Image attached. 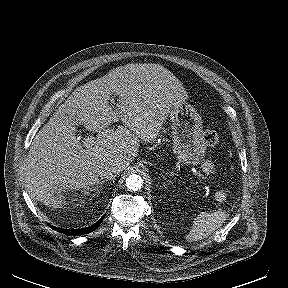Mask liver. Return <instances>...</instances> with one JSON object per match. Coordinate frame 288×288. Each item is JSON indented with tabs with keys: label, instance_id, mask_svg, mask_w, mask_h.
I'll return each mask as SVG.
<instances>
[{
	"label": "liver",
	"instance_id": "1",
	"mask_svg": "<svg viewBox=\"0 0 288 288\" xmlns=\"http://www.w3.org/2000/svg\"><path fill=\"white\" fill-rule=\"evenodd\" d=\"M112 94L118 97L115 110L109 104ZM186 98L182 83L155 63L120 66L76 88L31 143L25 166L28 193L62 208L63 191L99 184V165L120 162L126 169L140 141H155L174 105ZM70 115L79 117L86 130L99 132L97 137L81 143ZM119 120L124 126L110 127Z\"/></svg>",
	"mask_w": 288,
	"mask_h": 288
}]
</instances>
